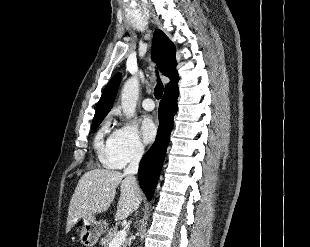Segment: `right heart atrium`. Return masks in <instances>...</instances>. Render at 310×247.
Listing matches in <instances>:
<instances>
[{"label":"right heart atrium","mask_w":310,"mask_h":247,"mask_svg":"<svg viewBox=\"0 0 310 247\" xmlns=\"http://www.w3.org/2000/svg\"><path fill=\"white\" fill-rule=\"evenodd\" d=\"M144 144L134 124L123 123L111 135L106 155L102 161L109 168H122L141 159Z\"/></svg>","instance_id":"right-heart-atrium-1"}]
</instances>
